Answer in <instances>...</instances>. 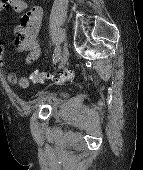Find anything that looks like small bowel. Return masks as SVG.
<instances>
[{
    "instance_id": "c3829d8e",
    "label": "small bowel",
    "mask_w": 143,
    "mask_h": 170,
    "mask_svg": "<svg viewBox=\"0 0 143 170\" xmlns=\"http://www.w3.org/2000/svg\"><path fill=\"white\" fill-rule=\"evenodd\" d=\"M27 5L24 0H5L0 4V11L9 10L15 13H22ZM43 16L42 8L36 6L29 9L21 18L19 24L14 28L12 41L17 46V51L25 53V62L31 64L40 56V47L37 40ZM5 63L3 46L0 44V67ZM5 78L10 84H18L21 88H27L29 80L26 77H18L16 73L9 72ZM25 82L26 86L21 84Z\"/></svg>"
}]
</instances>
